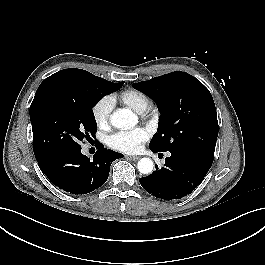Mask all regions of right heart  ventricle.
<instances>
[{
  "instance_id": "e07e8e85",
  "label": "right heart ventricle",
  "mask_w": 265,
  "mask_h": 265,
  "mask_svg": "<svg viewBox=\"0 0 265 265\" xmlns=\"http://www.w3.org/2000/svg\"><path fill=\"white\" fill-rule=\"evenodd\" d=\"M120 101L138 113H142L150 104L146 93L138 89H128L120 94Z\"/></svg>"
}]
</instances>
